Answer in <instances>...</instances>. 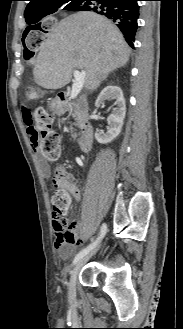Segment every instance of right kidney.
<instances>
[{"label": "right kidney", "instance_id": "ca27d5eb", "mask_svg": "<svg viewBox=\"0 0 183 329\" xmlns=\"http://www.w3.org/2000/svg\"><path fill=\"white\" fill-rule=\"evenodd\" d=\"M105 100H116L115 105L117 107L113 108L107 119L108 131L106 133H95V139L101 144L113 141L120 134L126 115V103L120 87L114 85L105 87L99 94L95 106L98 108L104 107Z\"/></svg>", "mask_w": 183, "mask_h": 329}]
</instances>
